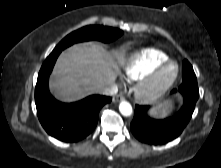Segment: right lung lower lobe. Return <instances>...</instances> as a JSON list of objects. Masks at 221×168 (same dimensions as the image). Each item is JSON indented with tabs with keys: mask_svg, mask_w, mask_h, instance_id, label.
<instances>
[{
	"mask_svg": "<svg viewBox=\"0 0 221 168\" xmlns=\"http://www.w3.org/2000/svg\"><path fill=\"white\" fill-rule=\"evenodd\" d=\"M60 53L52 51L39 71L35 88L37 115L49 135L63 142H77L94 130L100 109L111 98L92 95L75 103L57 101L49 92L48 79Z\"/></svg>",
	"mask_w": 221,
	"mask_h": 168,
	"instance_id": "1",
	"label": "right lung lower lobe"
}]
</instances>
